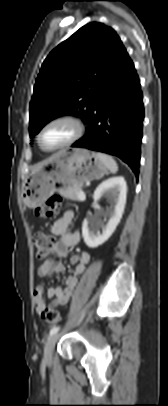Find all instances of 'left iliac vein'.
I'll return each instance as SVG.
<instances>
[{
	"instance_id": "left-iliac-vein-1",
	"label": "left iliac vein",
	"mask_w": 168,
	"mask_h": 406,
	"mask_svg": "<svg viewBox=\"0 0 168 406\" xmlns=\"http://www.w3.org/2000/svg\"><path fill=\"white\" fill-rule=\"evenodd\" d=\"M58 338H59V334L56 333V334H53L46 342L45 347H44V356H43L45 363L52 362L53 350H54V347H55V344H56Z\"/></svg>"
}]
</instances>
